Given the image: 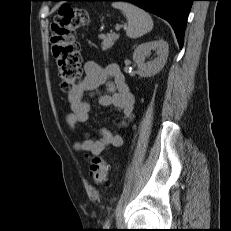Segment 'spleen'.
Masks as SVG:
<instances>
[{"label": "spleen", "instance_id": "spleen-1", "mask_svg": "<svg viewBox=\"0 0 231 231\" xmlns=\"http://www.w3.org/2000/svg\"><path fill=\"white\" fill-rule=\"evenodd\" d=\"M112 6L121 10L126 17L128 21L126 35L129 38H139L152 30L153 20L146 11L127 2H113Z\"/></svg>", "mask_w": 231, "mask_h": 231}]
</instances>
